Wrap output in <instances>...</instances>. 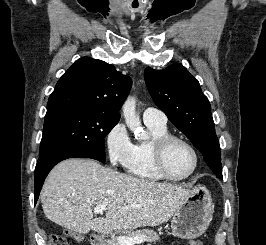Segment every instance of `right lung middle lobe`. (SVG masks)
Masks as SVG:
<instances>
[{
  "instance_id": "obj_1",
  "label": "right lung middle lobe",
  "mask_w": 266,
  "mask_h": 245,
  "mask_svg": "<svg viewBox=\"0 0 266 245\" xmlns=\"http://www.w3.org/2000/svg\"><path fill=\"white\" fill-rule=\"evenodd\" d=\"M120 116L91 109H73L45 117L39 157L69 150L86 153L105 162V136Z\"/></svg>"
}]
</instances>
